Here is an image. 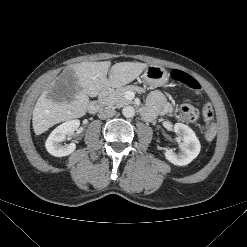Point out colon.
<instances>
[{
	"label": "colon",
	"instance_id": "obj_1",
	"mask_svg": "<svg viewBox=\"0 0 247 247\" xmlns=\"http://www.w3.org/2000/svg\"><path fill=\"white\" fill-rule=\"evenodd\" d=\"M171 76L175 81L187 86L195 94H199L201 92L199 82L189 74L180 70H174L172 71ZM180 116L186 122H195L199 117V112L194 106L184 104L180 108ZM202 116L205 122L203 129L204 137L207 140H213L216 136V126L213 122L214 112L212 105L206 104L203 107Z\"/></svg>",
	"mask_w": 247,
	"mask_h": 247
}]
</instances>
